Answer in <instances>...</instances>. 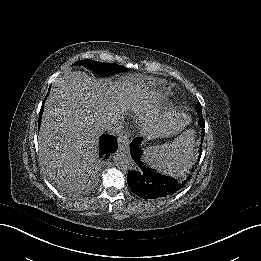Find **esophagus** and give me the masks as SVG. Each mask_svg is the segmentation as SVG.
I'll return each mask as SVG.
<instances>
[{
	"label": "esophagus",
	"instance_id": "1",
	"mask_svg": "<svg viewBox=\"0 0 261 261\" xmlns=\"http://www.w3.org/2000/svg\"><path fill=\"white\" fill-rule=\"evenodd\" d=\"M131 138H132L131 134L128 131L127 132H122L119 135L118 143H119V149L121 151H125V152L128 151Z\"/></svg>",
	"mask_w": 261,
	"mask_h": 261
}]
</instances>
